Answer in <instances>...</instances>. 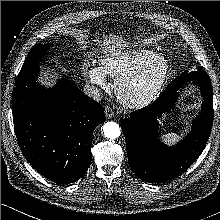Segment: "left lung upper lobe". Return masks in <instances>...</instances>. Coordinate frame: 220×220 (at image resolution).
<instances>
[{"instance_id":"left-lung-upper-lobe-1","label":"left lung upper lobe","mask_w":220,"mask_h":220,"mask_svg":"<svg viewBox=\"0 0 220 220\" xmlns=\"http://www.w3.org/2000/svg\"><path fill=\"white\" fill-rule=\"evenodd\" d=\"M197 78L210 79L207 73L202 68L199 67L198 71L181 74L180 76L176 77L169 85L177 86V85H181V83L191 81Z\"/></svg>"}]
</instances>
